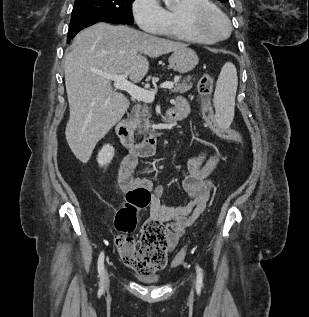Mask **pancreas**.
<instances>
[{
	"instance_id": "1",
	"label": "pancreas",
	"mask_w": 309,
	"mask_h": 317,
	"mask_svg": "<svg viewBox=\"0 0 309 317\" xmlns=\"http://www.w3.org/2000/svg\"><path fill=\"white\" fill-rule=\"evenodd\" d=\"M191 79V76H188L184 79L178 76L177 81L174 82V88L171 90V92L180 94L186 93L192 88ZM149 109V106L144 102H140L132 108L131 123L136 129L138 135H146L148 132L145 121Z\"/></svg>"
}]
</instances>
